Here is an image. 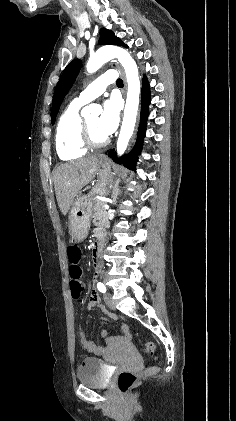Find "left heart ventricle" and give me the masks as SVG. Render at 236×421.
Here are the masks:
<instances>
[{
  "instance_id": "left-heart-ventricle-1",
  "label": "left heart ventricle",
  "mask_w": 236,
  "mask_h": 421,
  "mask_svg": "<svg viewBox=\"0 0 236 421\" xmlns=\"http://www.w3.org/2000/svg\"><path fill=\"white\" fill-rule=\"evenodd\" d=\"M89 133L94 141H101L106 136L100 131L98 122H99V115H93L86 118Z\"/></svg>"
}]
</instances>
